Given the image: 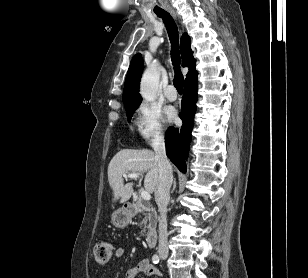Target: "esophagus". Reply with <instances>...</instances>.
Returning <instances> with one entry per match:
<instances>
[{"instance_id": "esophagus-1", "label": "esophagus", "mask_w": 308, "mask_h": 278, "mask_svg": "<svg viewBox=\"0 0 308 278\" xmlns=\"http://www.w3.org/2000/svg\"><path fill=\"white\" fill-rule=\"evenodd\" d=\"M170 12H171L172 16L176 18V13L173 10H171Z\"/></svg>"}]
</instances>
